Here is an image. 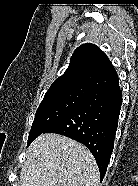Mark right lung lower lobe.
<instances>
[{"label":"right lung lower lobe","instance_id":"right-lung-lower-lobe-1","mask_svg":"<svg viewBox=\"0 0 138 186\" xmlns=\"http://www.w3.org/2000/svg\"><path fill=\"white\" fill-rule=\"evenodd\" d=\"M122 97L119 86L92 90L88 100L52 125L57 133L84 144L93 154L104 178L114 147Z\"/></svg>","mask_w":138,"mask_h":186}]
</instances>
